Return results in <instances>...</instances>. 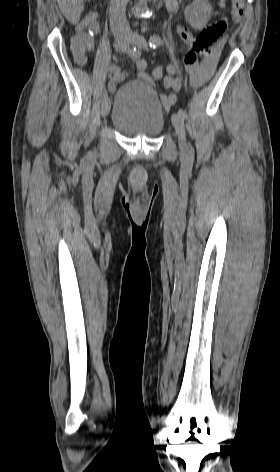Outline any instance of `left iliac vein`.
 Wrapping results in <instances>:
<instances>
[{
    "instance_id": "1",
    "label": "left iliac vein",
    "mask_w": 280,
    "mask_h": 472,
    "mask_svg": "<svg viewBox=\"0 0 280 472\" xmlns=\"http://www.w3.org/2000/svg\"><path fill=\"white\" fill-rule=\"evenodd\" d=\"M131 42L140 49H145L147 47L146 39L136 33L131 35ZM171 120L178 136L180 149L184 150L186 147V134L183 118L178 114H173Z\"/></svg>"
}]
</instances>
